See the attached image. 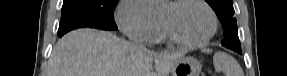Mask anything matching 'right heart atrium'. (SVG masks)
I'll list each match as a JSON object with an SVG mask.
<instances>
[{
	"label": "right heart atrium",
	"instance_id": "right-heart-atrium-1",
	"mask_svg": "<svg viewBox=\"0 0 287 76\" xmlns=\"http://www.w3.org/2000/svg\"><path fill=\"white\" fill-rule=\"evenodd\" d=\"M116 22L126 36L140 42H152L158 34V22L143 12L136 0L121 1Z\"/></svg>",
	"mask_w": 287,
	"mask_h": 76
}]
</instances>
